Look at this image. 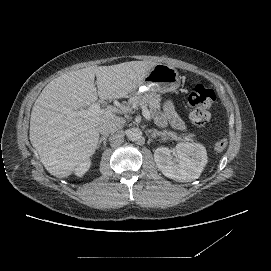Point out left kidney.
I'll return each instance as SVG.
<instances>
[{
  "label": "left kidney",
  "instance_id": "5707ae66",
  "mask_svg": "<svg viewBox=\"0 0 271 271\" xmlns=\"http://www.w3.org/2000/svg\"><path fill=\"white\" fill-rule=\"evenodd\" d=\"M154 161L166 177L179 182L196 180L207 162L206 149L196 143H178L174 150L159 147L154 151Z\"/></svg>",
  "mask_w": 271,
  "mask_h": 271
}]
</instances>
